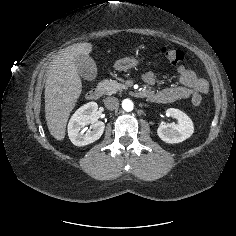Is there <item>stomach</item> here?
<instances>
[{
	"mask_svg": "<svg viewBox=\"0 0 236 236\" xmlns=\"http://www.w3.org/2000/svg\"><path fill=\"white\" fill-rule=\"evenodd\" d=\"M138 65V60L134 57H125L114 63V68L118 71H127Z\"/></svg>",
	"mask_w": 236,
	"mask_h": 236,
	"instance_id": "stomach-1",
	"label": "stomach"
}]
</instances>
